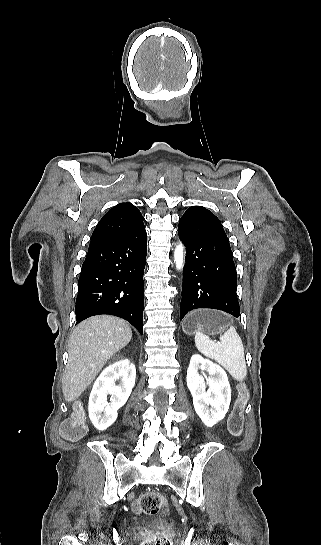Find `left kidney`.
<instances>
[{"mask_svg": "<svg viewBox=\"0 0 321 545\" xmlns=\"http://www.w3.org/2000/svg\"><path fill=\"white\" fill-rule=\"evenodd\" d=\"M198 369H201L202 375H199ZM203 371L209 373L206 383ZM186 381L194 409L202 423L213 427L222 421L231 403V387L225 371L201 355H192ZM206 385H209L210 393H206Z\"/></svg>", "mask_w": 321, "mask_h": 545, "instance_id": "obj_1", "label": "left kidney"}]
</instances>
